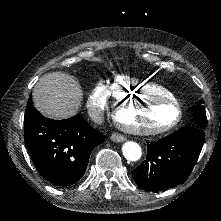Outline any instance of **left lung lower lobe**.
<instances>
[{"label": "left lung lower lobe", "instance_id": "0a47b994", "mask_svg": "<svg viewBox=\"0 0 221 221\" xmlns=\"http://www.w3.org/2000/svg\"><path fill=\"white\" fill-rule=\"evenodd\" d=\"M204 138L202 127H183L157 142L147 143L146 160L132 171L137 185L155 191L183 183L198 159Z\"/></svg>", "mask_w": 221, "mask_h": 221}]
</instances>
